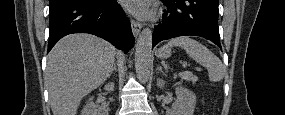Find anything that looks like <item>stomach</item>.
<instances>
[{"instance_id":"obj_1","label":"stomach","mask_w":285,"mask_h":115,"mask_svg":"<svg viewBox=\"0 0 285 115\" xmlns=\"http://www.w3.org/2000/svg\"><path fill=\"white\" fill-rule=\"evenodd\" d=\"M157 57L159 58H168L171 56V50L169 48H160L156 52Z\"/></svg>"}]
</instances>
